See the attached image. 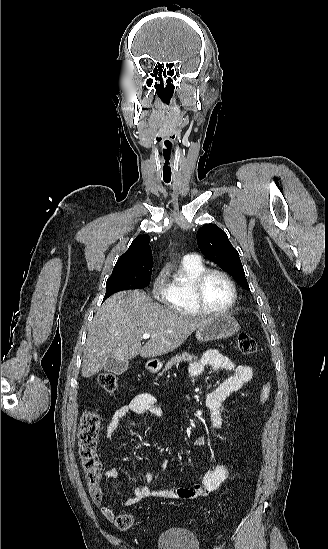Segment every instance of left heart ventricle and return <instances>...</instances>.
<instances>
[{
  "instance_id": "b2bd125f",
  "label": "left heart ventricle",
  "mask_w": 328,
  "mask_h": 549,
  "mask_svg": "<svg viewBox=\"0 0 328 549\" xmlns=\"http://www.w3.org/2000/svg\"><path fill=\"white\" fill-rule=\"evenodd\" d=\"M232 289L225 277L214 273L207 277L203 285V298L206 302L201 305L207 309L220 310L231 300Z\"/></svg>"
}]
</instances>
